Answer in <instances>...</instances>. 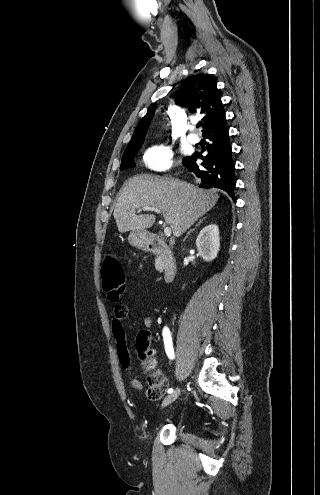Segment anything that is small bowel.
<instances>
[{
  "label": "small bowel",
  "instance_id": "obj_1",
  "mask_svg": "<svg viewBox=\"0 0 320 495\" xmlns=\"http://www.w3.org/2000/svg\"><path fill=\"white\" fill-rule=\"evenodd\" d=\"M129 314V308L125 305H122L121 308L119 309H114L113 313V318L111 321V330L112 333L117 340L118 343V350L121 356V359L124 364L129 363V357H128V352H127V347H126V340H125V329L123 325V320L128 316ZM144 326L149 328L152 325V319L149 316H145L143 319ZM159 374L158 372H155ZM129 382L130 385L136 389V390H141L143 388V384L141 381L138 379L132 377V370L129 368Z\"/></svg>",
  "mask_w": 320,
  "mask_h": 495
}]
</instances>
